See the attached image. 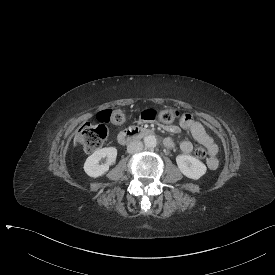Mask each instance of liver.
<instances>
[{
	"label": "liver",
	"mask_w": 275,
	"mask_h": 275,
	"mask_svg": "<svg viewBox=\"0 0 275 275\" xmlns=\"http://www.w3.org/2000/svg\"><path fill=\"white\" fill-rule=\"evenodd\" d=\"M76 140H77V138L75 137V139H74V146H76Z\"/></svg>",
	"instance_id": "obj_1"
}]
</instances>
